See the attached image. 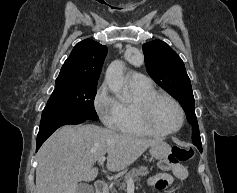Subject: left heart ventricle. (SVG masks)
I'll use <instances>...</instances> for the list:
<instances>
[{"mask_svg": "<svg viewBox=\"0 0 237 193\" xmlns=\"http://www.w3.org/2000/svg\"><path fill=\"white\" fill-rule=\"evenodd\" d=\"M151 123L160 130H173L180 123V113L168 99H159L151 112Z\"/></svg>", "mask_w": 237, "mask_h": 193, "instance_id": "obj_1", "label": "left heart ventricle"}]
</instances>
